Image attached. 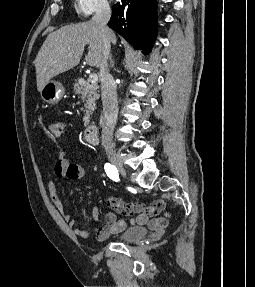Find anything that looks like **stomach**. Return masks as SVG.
<instances>
[{"label": "stomach", "instance_id": "0dacf381", "mask_svg": "<svg viewBox=\"0 0 255 287\" xmlns=\"http://www.w3.org/2000/svg\"><path fill=\"white\" fill-rule=\"evenodd\" d=\"M40 94L42 100L47 102V104H58L65 94V88H63L60 82L50 80V82H47V84L43 86Z\"/></svg>", "mask_w": 255, "mask_h": 287}]
</instances>
